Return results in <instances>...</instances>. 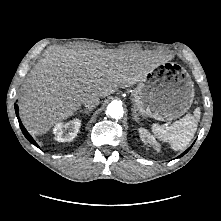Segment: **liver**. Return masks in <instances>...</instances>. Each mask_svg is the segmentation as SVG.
Returning <instances> with one entry per match:
<instances>
[{"label": "liver", "instance_id": "obj_1", "mask_svg": "<svg viewBox=\"0 0 221 221\" xmlns=\"http://www.w3.org/2000/svg\"><path fill=\"white\" fill-rule=\"evenodd\" d=\"M163 59L147 51L61 48L46 54L23 84L20 114L34 135L72 116L88 94L106 97L130 87Z\"/></svg>", "mask_w": 221, "mask_h": 221}]
</instances>
